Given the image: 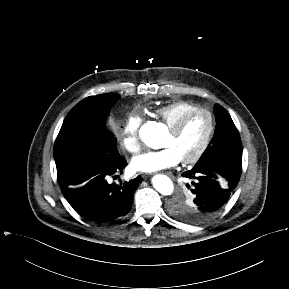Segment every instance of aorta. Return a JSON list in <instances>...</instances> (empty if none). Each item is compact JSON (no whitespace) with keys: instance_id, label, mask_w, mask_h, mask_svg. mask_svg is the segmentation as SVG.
<instances>
[{"instance_id":"762f6f07","label":"aorta","mask_w":289,"mask_h":289,"mask_svg":"<svg viewBox=\"0 0 289 289\" xmlns=\"http://www.w3.org/2000/svg\"><path fill=\"white\" fill-rule=\"evenodd\" d=\"M165 127L161 123L148 122L140 129V138L153 149L161 148L162 138L165 135ZM154 188L162 195H171L174 191L173 182L166 175H156L152 179Z\"/></svg>"}]
</instances>
